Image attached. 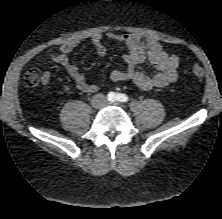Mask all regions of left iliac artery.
Returning a JSON list of instances; mask_svg holds the SVG:
<instances>
[{"mask_svg": "<svg viewBox=\"0 0 222 219\" xmlns=\"http://www.w3.org/2000/svg\"><path fill=\"white\" fill-rule=\"evenodd\" d=\"M128 96L122 93H119L116 95V100L120 102H127L128 101Z\"/></svg>", "mask_w": 222, "mask_h": 219, "instance_id": "1", "label": "left iliac artery"}]
</instances>
